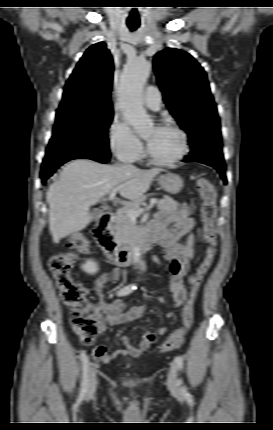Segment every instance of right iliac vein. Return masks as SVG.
<instances>
[{
  "label": "right iliac vein",
  "mask_w": 273,
  "mask_h": 430,
  "mask_svg": "<svg viewBox=\"0 0 273 430\" xmlns=\"http://www.w3.org/2000/svg\"><path fill=\"white\" fill-rule=\"evenodd\" d=\"M96 385H97V378H96V374L95 371L92 367L89 368V373H88V396H92L96 390Z\"/></svg>",
  "instance_id": "63e3f726"
}]
</instances>
